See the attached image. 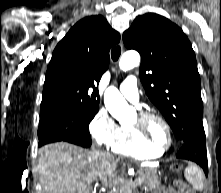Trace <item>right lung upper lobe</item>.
<instances>
[{
	"label": "right lung upper lobe",
	"mask_w": 221,
	"mask_h": 193,
	"mask_svg": "<svg viewBox=\"0 0 221 193\" xmlns=\"http://www.w3.org/2000/svg\"><path fill=\"white\" fill-rule=\"evenodd\" d=\"M119 41L120 34L101 15L77 22L53 51L41 110L99 108L97 86L108 69L110 48Z\"/></svg>",
	"instance_id": "obj_1"
}]
</instances>
